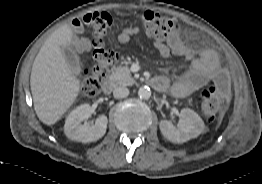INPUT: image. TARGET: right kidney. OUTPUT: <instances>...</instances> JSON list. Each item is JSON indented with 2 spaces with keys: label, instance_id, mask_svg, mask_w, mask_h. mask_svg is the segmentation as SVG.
Wrapping results in <instances>:
<instances>
[{
  "label": "right kidney",
  "instance_id": "right-kidney-1",
  "mask_svg": "<svg viewBox=\"0 0 262 184\" xmlns=\"http://www.w3.org/2000/svg\"><path fill=\"white\" fill-rule=\"evenodd\" d=\"M91 113L89 104H83L74 109L65 121V135L71 140L82 143L94 142L102 138L106 133L108 119L105 115H100L94 125L82 124L91 116Z\"/></svg>",
  "mask_w": 262,
  "mask_h": 184
}]
</instances>
